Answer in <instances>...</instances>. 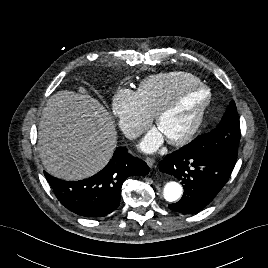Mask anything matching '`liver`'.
Here are the masks:
<instances>
[{"label":"liver","mask_w":268,"mask_h":268,"mask_svg":"<svg viewBox=\"0 0 268 268\" xmlns=\"http://www.w3.org/2000/svg\"><path fill=\"white\" fill-rule=\"evenodd\" d=\"M117 145L114 121L92 96L73 91L52 95L38 127V151L46 171L75 181L99 172Z\"/></svg>","instance_id":"6515ba94"}]
</instances>
